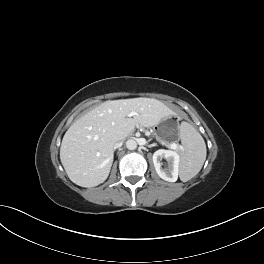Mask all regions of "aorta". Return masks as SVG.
Instances as JSON below:
<instances>
[{
	"mask_svg": "<svg viewBox=\"0 0 264 264\" xmlns=\"http://www.w3.org/2000/svg\"><path fill=\"white\" fill-rule=\"evenodd\" d=\"M126 147L129 150H135L137 148V142L133 139H129L126 141Z\"/></svg>",
	"mask_w": 264,
	"mask_h": 264,
	"instance_id": "1",
	"label": "aorta"
}]
</instances>
